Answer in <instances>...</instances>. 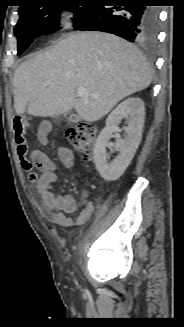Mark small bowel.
I'll return each instance as SVG.
<instances>
[{"label": "small bowel", "mask_w": 184, "mask_h": 327, "mask_svg": "<svg viewBox=\"0 0 184 327\" xmlns=\"http://www.w3.org/2000/svg\"><path fill=\"white\" fill-rule=\"evenodd\" d=\"M51 127L49 123L40 125L37 131V138L40 144H48V135ZM22 167L28 172L29 181L37 186L40 194L43 211L46 217L53 223L64 227L84 224L93 214L95 206L92 202L86 201L78 217L74 220L68 217L77 210V201L69 194H56L53 191V185L58 181L57 167L53 161L42 151H34L32 159L29 160L18 153ZM59 161L65 168H71L74 165L73 151L60 146L57 149ZM37 168L41 171L38 174L34 171Z\"/></svg>", "instance_id": "obj_1"}]
</instances>
